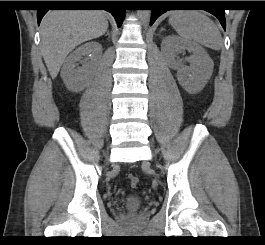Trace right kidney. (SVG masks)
Here are the masks:
<instances>
[{
  "instance_id": "obj_1",
  "label": "right kidney",
  "mask_w": 265,
  "mask_h": 245,
  "mask_svg": "<svg viewBox=\"0 0 265 245\" xmlns=\"http://www.w3.org/2000/svg\"><path fill=\"white\" fill-rule=\"evenodd\" d=\"M102 55V45L96 41L85 43L73 51L64 61L61 77L66 87L74 92L82 91L87 83L89 76L92 75L99 66ZM84 56H89V61L82 67L76 68V62Z\"/></svg>"
}]
</instances>
